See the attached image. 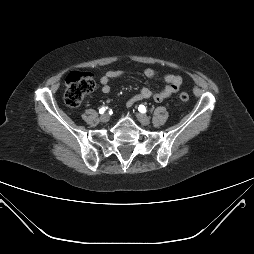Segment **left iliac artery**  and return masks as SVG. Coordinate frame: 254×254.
Listing matches in <instances>:
<instances>
[{"label": "left iliac artery", "instance_id": "44dca946", "mask_svg": "<svg viewBox=\"0 0 254 254\" xmlns=\"http://www.w3.org/2000/svg\"><path fill=\"white\" fill-rule=\"evenodd\" d=\"M138 110L141 112V113H146L147 112V109L144 105H139L138 107Z\"/></svg>", "mask_w": 254, "mask_h": 254}]
</instances>
